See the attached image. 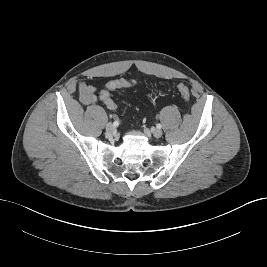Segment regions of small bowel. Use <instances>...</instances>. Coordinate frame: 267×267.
Segmentation results:
<instances>
[{"label": "small bowel", "mask_w": 267, "mask_h": 267, "mask_svg": "<svg viewBox=\"0 0 267 267\" xmlns=\"http://www.w3.org/2000/svg\"><path fill=\"white\" fill-rule=\"evenodd\" d=\"M80 100L85 105L94 104L98 101L96 89L86 83H81L79 86Z\"/></svg>", "instance_id": "c3829d8e"}]
</instances>
